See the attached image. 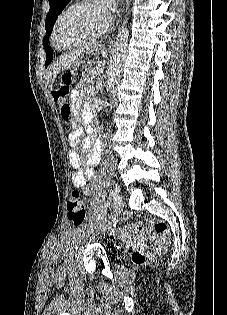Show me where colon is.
Returning <instances> with one entry per match:
<instances>
[{
    "label": "colon",
    "instance_id": "colon-1",
    "mask_svg": "<svg viewBox=\"0 0 227 315\" xmlns=\"http://www.w3.org/2000/svg\"><path fill=\"white\" fill-rule=\"evenodd\" d=\"M71 74H62L58 85L53 90L54 99L60 104L62 116L68 119L71 114V104L69 102ZM67 210L69 219L76 225L82 224L86 220V211L80 200V192L74 190L71 192L67 201ZM150 232L158 242L153 248L140 249L133 253V262L137 265H144L150 261L156 252L166 247L170 241V232L168 224L160 219L150 220ZM122 234L132 236L137 239H143L148 236V232L139 223L126 227Z\"/></svg>",
    "mask_w": 227,
    "mask_h": 315
}]
</instances>
